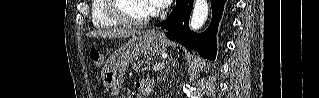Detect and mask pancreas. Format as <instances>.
Segmentation results:
<instances>
[{"mask_svg": "<svg viewBox=\"0 0 319 98\" xmlns=\"http://www.w3.org/2000/svg\"><path fill=\"white\" fill-rule=\"evenodd\" d=\"M149 61L148 60H139L137 63L133 64V68L136 70H141L142 71V67L145 66V64H148Z\"/></svg>", "mask_w": 319, "mask_h": 98, "instance_id": "cf45deb5", "label": "pancreas"}]
</instances>
